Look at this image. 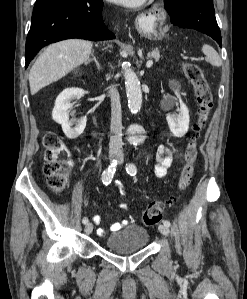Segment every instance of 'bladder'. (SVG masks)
<instances>
[{"label":"bladder","mask_w":247,"mask_h":299,"mask_svg":"<svg viewBox=\"0 0 247 299\" xmlns=\"http://www.w3.org/2000/svg\"><path fill=\"white\" fill-rule=\"evenodd\" d=\"M149 241L146 228L130 224L109 235L105 240V248L117 254H129L144 249Z\"/></svg>","instance_id":"31cf9c89"}]
</instances>
